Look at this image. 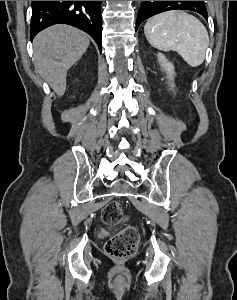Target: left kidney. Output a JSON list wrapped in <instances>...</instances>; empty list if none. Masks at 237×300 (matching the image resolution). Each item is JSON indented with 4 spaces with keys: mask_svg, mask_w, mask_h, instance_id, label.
Instances as JSON below:
<instances>
[{
    "mask_svg": "<svg viewBox=\"0 0 237 300\" xmlns=\"http://www.w3.org/2000/svg\"><path fill=\"white\" fill-rule=\"evenodd\" d=\"M157 57L161 67H163V71L167 73V79H169V81H173L175 77L174 65L169 63L168 59H166L162 53H158ZM171 87H173V85H171Z\"/></svg>",
    "mask_w": 237,
    "mask_h": 300,
    "instance_id": "obj_1",
    "label": "left kidney"
}]
</instances>
